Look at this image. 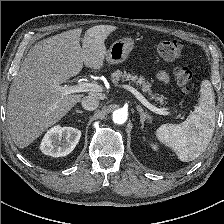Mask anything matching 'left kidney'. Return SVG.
Wrapping results in <instances>:
<instances>
[{"label":"left kidney","instance_id":"1","mask_svg":"<svg viewBox=\"0 0 224 224\" xmlns=\"http://www.w3.org/2000/svg\"><path fill=\"white\" fill-rule=\"evenodd\" d=\"M144 139H145V138H144ZM150 145H151V147H152V149H153L154 151H157V150H158V145H157V144L151 143Z\"/></svg>","mask_w":224,"mask_h":224}]
</instances>
